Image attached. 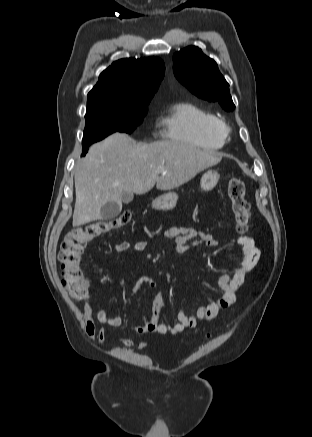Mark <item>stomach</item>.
I'll return each mask as SVG.
<instances>
[{
	"instance_id": "obj_1",
	"label": "stomach",
	"mask_w": 312,
	"mask_h": 437,
	"mask_svg": "<svg viewBox=\"0 0 312 437\" xmlns=\"http://www.w3.org/2000/svg\"><path fill=\"white\" fill-rule=\"evenodd\" d=\"M219 174L216 170L206 171L200 180L203 191H211L219 181ZM178 194L175 192H168L155 198L152 202V207L159 211H168L176 207Z\"/></svg>"
}]
</instances>
